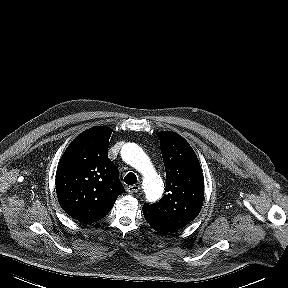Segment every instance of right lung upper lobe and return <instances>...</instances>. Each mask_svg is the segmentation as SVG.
Masks as SVG:
<instances>
[{
  "instance_id": "1",
  "label": "right lung upper lobe",
  "mask_w": 288,
  "mask_h": 288,
  "mask_svg": "<svg viewBox=\"0 0 288 288\" xmlns=\"http://www.w3.org/2000/svg\"><path fill=\"white\" fill-rule=\"evenodd\" d=\"M108 127L81 133L65 150L56 173V192L62 209L90 224L104 218L124 192L117 166L108 158Z\"/></svg>"
}]
</instances>
